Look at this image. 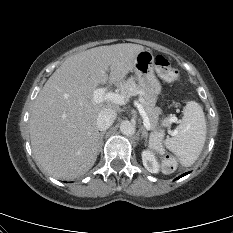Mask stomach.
Masks as SVG:
<instances>
[{"label":"stomach","mask_w":233,"mask_h":233,"mask_svg":"<svg viewBox=\"0 0 233 233\" xmlns=\"http://www.w3.org/2000/svg\"><path fill=\"white\" fill-rule=\"evenodd\" d=\"M133 72L140 88L156 101L161 93V84L154 74V55L151 50H143L137 55Z\"/></svg>","instance_id":"stomach-1"}]
</instances>
